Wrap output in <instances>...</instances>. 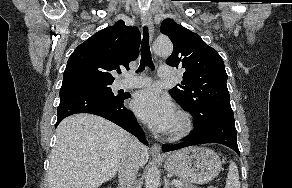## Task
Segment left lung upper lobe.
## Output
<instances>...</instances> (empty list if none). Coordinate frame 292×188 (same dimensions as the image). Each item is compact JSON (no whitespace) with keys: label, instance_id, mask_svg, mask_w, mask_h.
Masks as SVG:
<instances>
[{"label":"left lung upper lobe","instance_id":"5c2ea615","mask_svg":"<svg viewBox=\"0 0 292 188\" xmlns=\"http://www.w3.org/2000/svg\"><path fill=\"white\" fill-rule=\"evenodd\" d=\"M161 31L168 35L174 47L166 63L185 69L184 80L169 93L191 113L195 127L203 125L215 114L233 112L225 66L218 52L198 34L172 19L162 22Z\"/></svg>","mask_w":292,"mask_h":188}]
</instances>
